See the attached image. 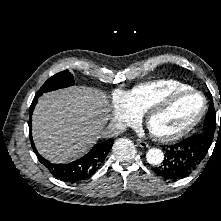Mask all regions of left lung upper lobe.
<instances>
[{"mask_svg": "<svg viewBox=\"0 0 221 221\" xmlns=\"http://www.w3.org/2000/svg\"><path fill=\"white\" fill-rule=\"evenodd\" d=\"M204 130L205 132L201 135H198L197 139L206 141L208 143L209 149L213 141L214 132L216 130V113L213 102H211L209 106V111L204 122Z\"/></svg>", "mask_w": 221, "mask_h": 221, "instance_id": "obj_1", "label": "left lung upper lobe"}]
</instances>
